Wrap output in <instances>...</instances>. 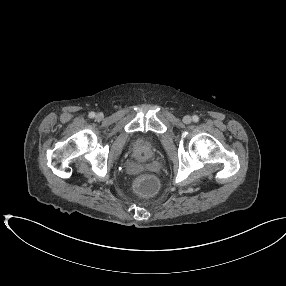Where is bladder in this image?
<instances>
[{"instance_id": "31cf9c89", "label": "bladder", "mask_w": 286, "mask_h": 286, "mask_svg": "<svg viewBox=\"0 0 286 286\" xmlns=\"http://www.w3.org/2000/svg\"><path fill=\"white\" fill-rule=\"evenodd\" d=\"M134 146L142 155H148L153 149V143L145 137H138L135 140Z\"/></svg>"}]
</instances>
